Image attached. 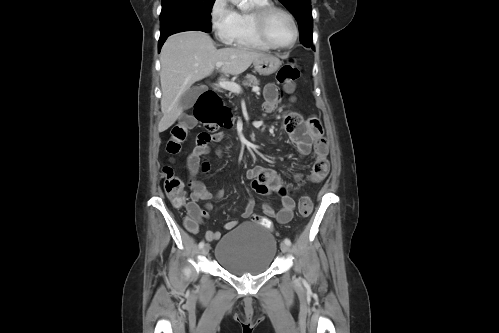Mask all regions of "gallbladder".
<instances>
[{
	"mask_svg": "<svg viewBox=\"0 0 499 333\" xmlns=\"http://www.w3.org/2000/svg\"><path fill=\"white\" fill-rule=\"evenodd\" d=\"M206 90L205 86H196L190 88L186 93L180 98V105L185 108L192 107L197 98Z\"/></svg>",
	"mask_w": 499,
	"mask_h": 333,
	"instance_id": "1",
	"label": "gallbladder"
}]
</instances>
